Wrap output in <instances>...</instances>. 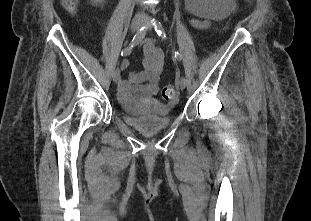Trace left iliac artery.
<instances>
[{
  "label": "left iliac artery",
  "mask_w": 311,
  "mask_h": 221,
  "mask_svg": "<svg viewBox=\"0 0 311 221\" xmlns=\"http://www.w3.org/2000/svg\"><path fill=\"white\" fill-rule=\"evenodd\" d=\"M154 28L156 33L162 38V39H166V33L164 30L163 25L161 24V22L159 21H155L154 22ZM175 58H177V60L181 61V55L179 54V52H175Z\"/></svg>",
  "instance_id": "obj_1"
}]
</instances>
